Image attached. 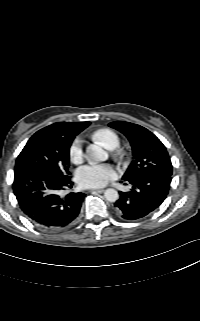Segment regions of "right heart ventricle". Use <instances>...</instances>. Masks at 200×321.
I'll list each match as a JSON object with an SVG mask.
<instances>
[{"label": "right heart ventricle", "mask_w": 200, "mask_h": 321, "mask_svg": "<svg viewBox=\"0 0 200 321\" xmlns=\"http://www.w3.org/2000/svg\"><path fill=\"white\" fill-rule=\"evenodd\" d=\"M92 137L108 149H114L120 144L119 135L109 128H100L96 130Z\"/></svg>", "instance_id": "1"}]
</instances>
